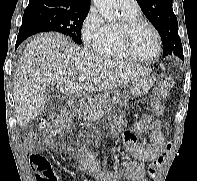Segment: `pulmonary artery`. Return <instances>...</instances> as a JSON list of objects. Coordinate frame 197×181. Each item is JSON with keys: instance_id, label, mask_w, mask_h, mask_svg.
<instances>
[{"instance_id": "1", "label": "pulmonary artery", "mask_w": 197, "mask_h": 181, "mask_svg": "<svg viewBox=\"0 0 197 181\" xmlns=\"http://www.w3.org/2000/svg\"><path fill=\"white\" fill-rule=\"evenodd\" d=\"M118 6L124 11H137L139 6L136 0H118Z\"/></svg>"}]
</instances>
